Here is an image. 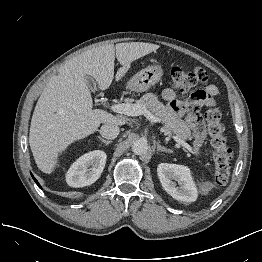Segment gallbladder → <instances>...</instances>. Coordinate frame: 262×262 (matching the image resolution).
I'll use <instances>...</instances> for the list:
<instances>
[{
  "mask_svg": "<svg viewBox=\"0 0 262 262\" xmlns=\"http://www.w3.org/2000/svg\"><path fill=\"white\" fill-rule=\"evenodd\" d=\"M85 82H86L87 86L92 89L93 92L96 90V83H95V81L92 77L85 76Z\"/></svg>",
  "mask_w": 262,
  "mask_h": 262,
  "instance_id": "1",
  "label": "gallbladder"
}]
</instances>
